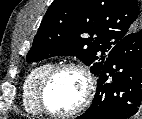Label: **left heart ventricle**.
<instances>
[{
    "mask_svg": "<svg viewBox=\"0 0 142 119\" xmlns=\"http://www.w3.org/2000/svg\"><path fill=\"white\" fill-rule=\"evenodd\" d=\"M84 80L72 69L59 72L46 91V102L50 109L67 112L76 108L82 99Z\"/></svg>",
    "mask_w": 142,
    "mask_h": 119,
    "instance_id": "b2bd125f",
    "label": "left heart ventricle"
}]
</instances>
